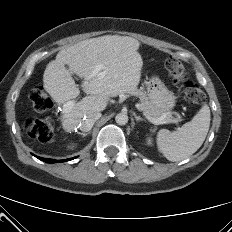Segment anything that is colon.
I'll return each mask as SVG.
<instances>
[{
  "mask_svg": "<svg viewBox=\"0 0 232 232\" xmlns=\"http://www.w3.org/2000/svg\"><path fill=\"white\" fill-rule=\"evenodd\" d=\"M165 68L173 82L183 85L184 97L191 104H200L205 101V93L201 87L188 79V71L185 65L175 57H169L165 61ZM30 101L37 113H44L53 107L52 99L41 86H35L29 93ZM25 129L29 136L40 142L51 141L54 134V122L49 118L39 119L29 117L25 123Z\"/></svg>",
  "mask_w": 232,
  "mask_h": 232,
  "instance_id": "obj_1",
  "label": "colon"
}]
</instances>
